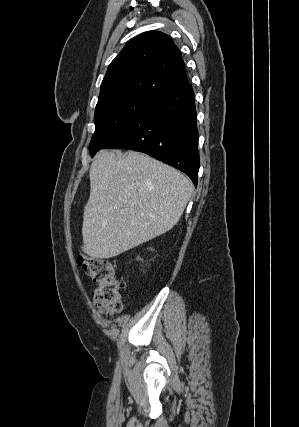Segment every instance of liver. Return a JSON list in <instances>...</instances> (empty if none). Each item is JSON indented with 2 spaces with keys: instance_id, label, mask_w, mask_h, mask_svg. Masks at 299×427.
<instances>
[{
  "instance_id": "6515ba94",
  "label": "liver",
  "mask_w": 299,
  "mask_h": 427,
  "mask_svg": "<svg viewBox=\"0 0 299 427\" xmlns=\"http://www.w3.org/2000/svg\"><path fill=\"white\" fill-rule=\"evenodd\" d=\"M89 176L82 250L93 258H112L169 231L193 192L181 172L135 151H99Z\"/></svg>"
}]
</instances>
